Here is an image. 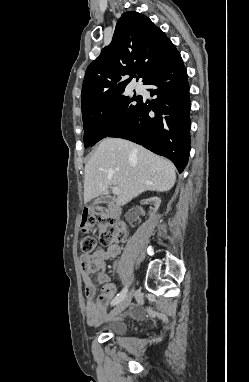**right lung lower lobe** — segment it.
<instances>
[{"label": "right lung lower lobe", "mask_w": 249, "mask_h": 382, "mask_svg": "<svg viewBox=\"0 0 249 382\" xmlns=\"http://www.w3.org/2000/svg\"><path fill=\"white\" fill-rule=\"evenodd\" d=\"M144 84L153 86L149 91L156 99L142 98L132 119L108 136L133 141L169 158L181 173L190 151L189 85L181 56L153 71Z\"/></svg>", "instance_id": "1"}]
</instances>
